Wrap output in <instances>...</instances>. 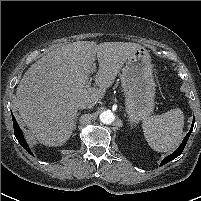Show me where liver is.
Segmentation results:
<instances>
[{
  "mask_svg": "<svg viewBox=\"0 0 201 201\" xmlns=\"http://www.w3.org/2000/svg\"><path fill=\"white\" fill-rule=\"evenodd\" d=\"M139 44L78 41L49 52L23 75L17 86L16 107L41 144L61 146L71 136L82 99L101 101L119 70ZM97 58L94 77L99 88L87 87Z\"/></svg>",
  "mask_w": 201,
  "mask_h": 201,
  "instance_id": "liver-1",
  "label": "liver"
}]
</instances>
